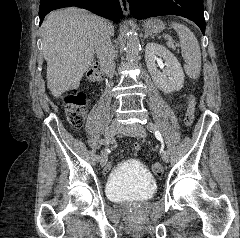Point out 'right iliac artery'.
<instances>
[{
    "instance_id": "1",
    "label": "right iliac artery",
    "mask_w": 240,
    "mask_h": 238,
    "mask_svg": "<svg viewBox=\"0 0 240 238\" xmlns=\"http://www.w3.org/2000/svg\"><path fill=\"white\" fill-rule=\"evenodd\" d=\"M98 143H99V145H100L101 147L105 145V144H104V140H100ZM96 155H97V156H96V160H97V161H100V158H101V157L99 156L98 153H97Z\"/></svg>"
}]
</instances>
